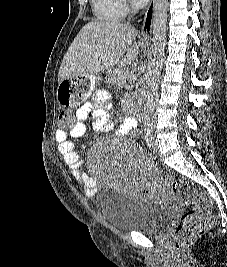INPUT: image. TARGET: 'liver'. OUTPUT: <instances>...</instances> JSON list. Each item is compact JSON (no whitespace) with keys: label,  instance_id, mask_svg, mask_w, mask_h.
<instances>
[{"label":"liver","instance_id":"liver-1","mask_svg":"<svg viewBox=\"0 0 227 267\" xmlns=\"http://www.w3.org/2000/svg\"><path fill=\"white\" fill-rule=\"evenodd\" d=\"M134 27L118 22L87 23L77 34L61 63L62 77L98 74L117 65L125 69L137 58Z\"/></svg>","mask_w":227,"mask_h":267}]
</instances>
